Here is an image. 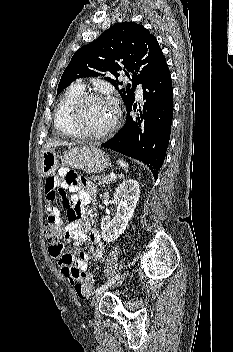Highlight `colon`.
I'll list each match as a JSON object with an SVG mask.
<instances>
[{"instance_id":"5ec220e1","label":"colon","mask_w":233,"mask_h":352,"mask_svg":"<svg viewBox=\"0 0 233 352\" xmlns=\"http://www.w3.org/2000/svg\"><path fill=\"white\" fill-rule=\"evenodd\" d=\"M44 235L46 239L54 245L64 246L66 244V237L63 230L49 222L44 226ZM95 276L92 273L79 274L78 281L75 284V292L81 299L88 298L92 291V284Z\"/></svg>"}]
</instances>
